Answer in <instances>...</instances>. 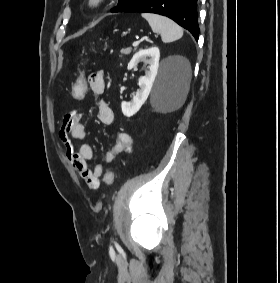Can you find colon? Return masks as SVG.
<instances>
[{"label":"colon","instance_id":"obj_1","mask_svg":"<svg viewBox=\"0 0 280 283\" xmlns=\"http://www.w3.org/2000/svg\"><path fill=\"white\" fill-rule=\"evenodd\" d=\"M89 76L88 71L84 70L80 73L78 79L75 80L74 84L70 88L72 102H83L86 99L87 92H91V87L89 86ZM114 179V173L108 171L105 175V182L107 185H111Z\"/></svg>","mask_w":280,"mask_h":283}]
</instances>
